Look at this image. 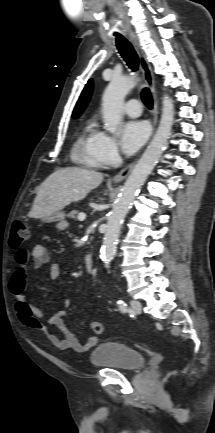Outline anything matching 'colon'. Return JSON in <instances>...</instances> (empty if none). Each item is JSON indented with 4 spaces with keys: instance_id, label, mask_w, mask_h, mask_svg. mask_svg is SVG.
Masks as SVG:
<instances>
[{
    "instance_id": "1",
    "label": "colon",
    "mask_w": 215,
    "mask_h": 433,
    "mask_svg": "<svg viewBox=\"0 0 215 433\" xmlns=\"http://www.w3.org/2000/svg\"><path fill=\"white\" fill-rule=\"evenodd\" d=\"M31 238V231L27 224L22 221H15L12 225L10 244L18 248L28 242ZM90 328L95 334L103 333V324L97 321L90 323Z\"/></svg>"
}]
</instances>
